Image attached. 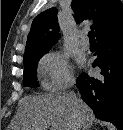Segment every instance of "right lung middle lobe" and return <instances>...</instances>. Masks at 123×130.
Wrapping results in <instances>:
<instances>
[{
	"instance_id": "1",
	"label": "right lung middle lobe",
	"mask_w": 123,
	"mask_h": 130,
	"mask_svg": "<svg viewBox=\"0 0 123 130\" xmlns=\"http://www.w3.org/2000/svg\"><path fill=\"white\" fill-rule=\"evenodd\" d=\"M45 53L32 54L24 57V86L37 87L36 66Z\"/></svg>"
}]
</instances>
